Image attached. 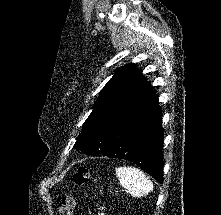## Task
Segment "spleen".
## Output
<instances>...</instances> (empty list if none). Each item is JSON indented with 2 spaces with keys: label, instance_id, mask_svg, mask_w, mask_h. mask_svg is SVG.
<instances>
[{
  "label": "spleen",
  "instance_id": "obj_1",
  "mask_svg": "<svg viewBox=\"0 0 221 215\" xmlns=\"http://www.w3.org/2000/svg\"><path fill=\"white\" fill-rule=\"evenodd\" d=\"M120 185L132 196L141 197L153 190L151 180L138 168L127 166L116 168Z\"/></svg>",
  "mask_w": 221,
  "mask_h": 215
}]
</instances>
